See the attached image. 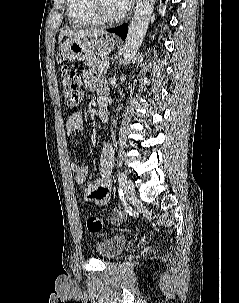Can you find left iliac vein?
Segmentation results:
<instances>
[{
	"instance_id": "1",
	"label": "left iliac vein",
	"mask_w": 239,
	"mask_h": 303,
	"mask_svg": "<svg viewBox=\"0 0 239 303\" xmlns=\"http://www.w3.org/2000/svg\"><path fill=\"white\" fill-rule=\"evenodd\" d=\"M124 192L126 199L130 202L134 201L136 199V193H135V187L132 181L126 180L125 186H124Z\"/></svg>"
}]
</instances>
